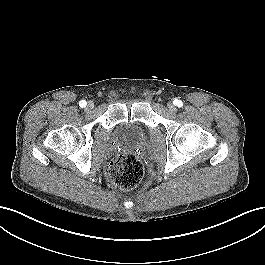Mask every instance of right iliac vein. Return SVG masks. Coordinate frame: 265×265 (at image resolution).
<instances>
[{
	"label": "right iliac vein",
	"instance_id": "63e3f726",
	"mask_svg": "<svg viewBox=\"0 0 265 265\" xmlns=\"http://www.w3.org/2000/svg\"><path fill=\"white\" fill-rule=\"evenodd\" d=\"M93 107H94L93 102H89V103H88V109H93Z\"/></svg>",
	"mask_w": 265,
	"mask_h": 265
}]
</instances>
